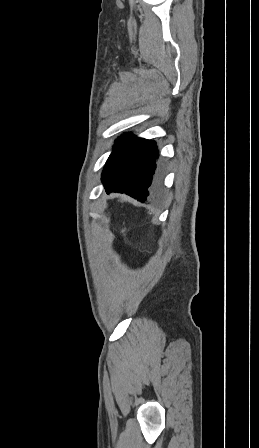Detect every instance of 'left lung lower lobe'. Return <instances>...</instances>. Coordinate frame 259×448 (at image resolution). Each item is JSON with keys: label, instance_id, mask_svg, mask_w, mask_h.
Masks as SVG:
<instances>
[{"label": "left lung lower lobe", "instance_id": "0a47b994", "mask_svg": "<svg viewBox=\"0 0 259 448\" xmlns=\"http://www.w3.org/2000/svg\"><path fill=\"white\" fill-rule=\"evenodd\" d=\"M115 144L101 175L106 193L124 192L145 202L159 179L156 143L124 133Z\"/></svg>", "mask_w": 259, "mask_h": 448}]
</instances>
